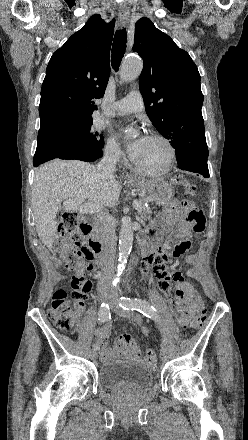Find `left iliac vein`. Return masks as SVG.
Wrapping results in <instances>:
<instances>
[{"label": "left iliac vein", "instance_id": "obj_1", "mask_svg": "<svg viewBox=\"0 0 248 440\" xmlns=\"http://www.w3.org/2000/svg\"><path fill=\"white\" fill-rule=\"evenodd\" d=\"M110 304H111V307H112V309H113V311H114L115 313H117L118 315H120V316H122V317H125V318H131V313H129V312L123 310L122 308H120V307L118 306V303H117L116 300L111 299ZM160 358H161V360H162L163 362H166V361L168 360V358H169L168 351H167V349H166L165 347H163V348L161 349V352H160Z\"/></svg>", "mask_w": 248, "mask_h": 440}]
</instances>
